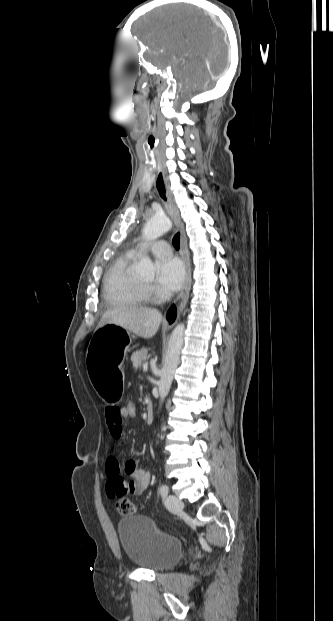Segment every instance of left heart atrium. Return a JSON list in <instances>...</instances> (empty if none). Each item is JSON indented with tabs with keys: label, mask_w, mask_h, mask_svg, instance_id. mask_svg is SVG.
Returning <instances> with one entry per match:
<instances>
[{
	"label": "left heart atrium",
	"mask_w": 333,
	"mask_h": 621,
	"mask_svg": "<svg viewBox=\"0 0 333 621\" xmlns=\"http://www.w3.org/2000/svg\"><path fill=\"white\" fill-rule=\"evenodd\" d=\"M185 281L183 263L175 258L161 261L157 266V286L163 291L172 293L179 290Z\"/></svg>",
	"instance_id": "left-heart-atrium-1"
}]
</instances>
